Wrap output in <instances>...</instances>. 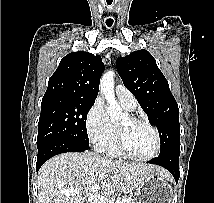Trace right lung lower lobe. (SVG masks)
<instances>
[{
    "label": "right lung lower lobe",
    "mask_w": 214,
    "mask_h": 203,
    "mask_svg": "<svg viewBox=\"0 0 214 203\" xmlns=\"http://www.w3.org/2000/svg\"><path fill=\"white\" fill-rule=\"evenodd\" d=\"M89 149V146L81 145L65 140H52L42 144L38 147L37 163L36 169L37 172L45 161L49 158L66 152H83Z\"/></svg>",
    "instance_id": "right-lung-lower-lobe-1"
}]
</instances>
